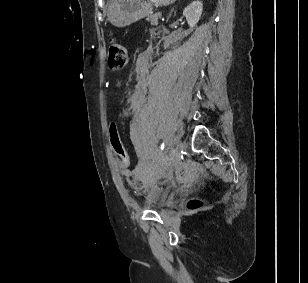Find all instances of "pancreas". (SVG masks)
Wrapping results in <instances>:
<instances>
[{"label": "pancreas", "mask_w": 308, "mask_h": 283, "mask_svg": "<svg viewBox=\"0 0 308 283\" xmlns=\"http://www.w3.org/2000/svg\"><path fill=\"white\" fill-rule=\"evenodd\" d=\"M158 18H159L158 13H156V14H153V15H149L147 17V21H150L151 25L157 26L158 25Z\"/></svg>", "instance_id": "pancreas-1"}]
</instances>
